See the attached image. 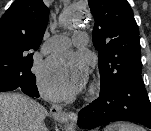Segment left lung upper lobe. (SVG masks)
<instances>
[{"mask_svg":"<svg viewBox=\"0 0 151 131\" xmlns=\"http://www.w3.org/2000/svg\"><path fill=\"white\" fill-rule=\"evenodd\" d=\"M95 19L93 44L98 50L101 91L133 73H141L139 30L126 0H88Z\"/></svg>","mask_w":151,"mask_h":131,"instance_id":"obj_1","label":"left lung upper lobe"}]
</instances>
